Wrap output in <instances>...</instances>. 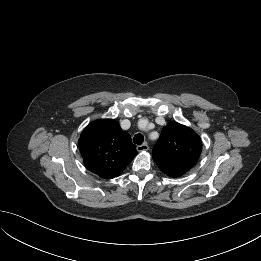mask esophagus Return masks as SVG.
Segmentation results:
<instances>
[{
    "label": "esophagus",
    "mask_w": 261,
    "mask_h": 261,
    "mask_svg": "<svg viewBox=\"0 0 261 261\" xmlns=\"http://www.w3.org/2000/svg\"><path fill=\"white\" fill-rule=\"evenodd\" d=\"M149 149V146L147 143H143L142 145H138L137 146V151L138 152H143V151H147Z\"/></svg>",
    "instance_id": "34e87169"
}]
</instances>
